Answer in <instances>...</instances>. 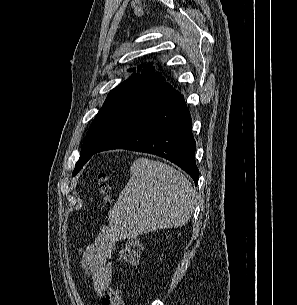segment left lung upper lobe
<instances>
[{"label":"left lung upper lobe","mask_w":297,"mask_h":305,"mask_svg":"<svg viewBox=\"0 0 297 305\" xmlns=\"http://www.w3.org/2000/svg\"><path fill=\"white\" fill-rule=\"evenodd\" d=\"M142 71V74H134L129 79L114 88L107 96L103 107L99 110L92 122L84 140L80 152V158L76 163L72 176H75L99 148L109 130L134 98L146 87L163 78L151 70ZM134 72V69H129Z\"/></svg>","instance_id":"1"}]
</instances>
